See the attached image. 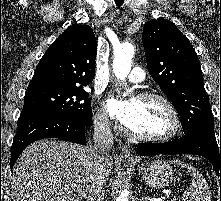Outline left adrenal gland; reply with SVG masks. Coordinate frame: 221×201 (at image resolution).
Masks as SVG:
<instances>
[{
  "mask_svg": "<svg viewBox=\"0 0 221 201\" xmlns=\"http://www.w3.org/2000/svg\"><path fill=\"white\" fill-rule=\"evenodd\" d=\"M139 201H147L146 198L143 196L139 199Z\"/></svg>",
  "mask_w": 221,
  "mask_h": 201,
  "instance_id": "obj_1",
  "label": "left adrenal gland"
}]
</instances>
